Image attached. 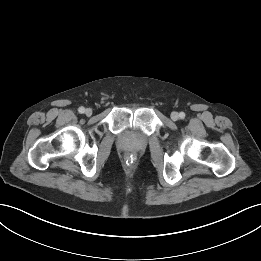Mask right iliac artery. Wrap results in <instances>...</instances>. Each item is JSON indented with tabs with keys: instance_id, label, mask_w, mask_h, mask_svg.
Masks as SVG:
<instances>
[{
	"instance_id": "82829eb1",
	"label": "right iliac artery",
	"mask_w": 261,
	"mask_h": 261,
	"mask_svg": "<svg viewBox=\"0 0 261 261\" xmlns=\"http://www.w3.org/2000/svg\"><path fill=\"white\" fill-rule=\"evenodd\" d=\"M78 111H79V113H84L85 112V108L84 107H80L79 109H78Z\"/></svg>"
}]
</instances>
